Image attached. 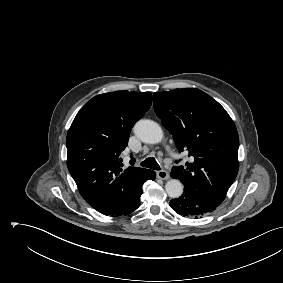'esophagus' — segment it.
Returning a JSON list of instances; mask_svg holds the SVG:
<instances>
[{
    "instance_id": "esophagus-1",
    "label": "esophagus",
    "mask_w": 283,
    "mask_h": 283,
    "mask_svg": "<svg viewBox=\"0 0 283 283\" xmlns=\"http://www.w3.org/2000/svg\"><path fill=\"white\" fill-rule=\"evenodd\" d=\"M157 177L162 180L169 179V173L166 170H161L157 172Z\"/></svg>"
}]
</instances>
